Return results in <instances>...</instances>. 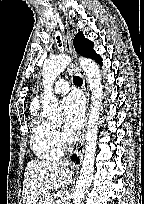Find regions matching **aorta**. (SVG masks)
I'll return each mask as SVG.
<instances>
[{
  "label": "aorta",
  "mask_w": 144,
  "mask_h": 204,
  "mask_svg": "<svg viewBox=\"0 0 144 204\" xmlns=\"http://www.w3.org/2000/svg\"><path fill=\"white\" fill-rule=\"evenodd\" d=\"M71 58L67 55H58L45 61L42 69L44 92L42 96V114L51 121H58L61 117L58 100L53 93V84L58 75L70 64ZM91 91L90 116L86 133L85 156L82 162L79 181L73 194V203L81 204L93 178L94 160L98 138V122L102 103L103 85L97 64L91 59L80 58Z\"/></svg>",
  "instance_id": "1"
}]
</instances>
